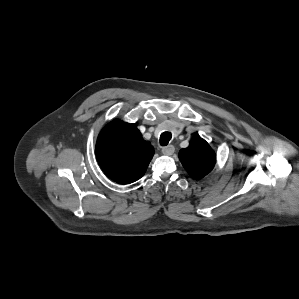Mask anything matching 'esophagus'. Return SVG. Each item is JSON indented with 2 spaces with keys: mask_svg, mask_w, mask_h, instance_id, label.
<instances>
[{
  "mask_svg": "<svg viewBox=\"0 0 299 299\" xmlns=\"http://www.w3.org/2000/svg\"><path fill=\"white\" fill-rule=\"evenodd\" d=\"M174 151H175V148L173 145H168V146H165L162 148V153L167 156L172 155L174 153Z\"/></svg>",
  "mask_w": 299,
  "mask_h": 299,
  "instance_id": "34e87169",
  "label": "esophagus"
}]
</instances>
